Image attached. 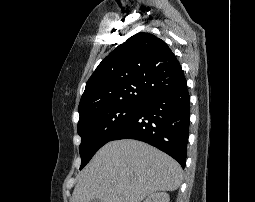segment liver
Masks as SVG:
<instances>
[{"label": "liver", "mask_w": 255, "mask_h": 202, "mask_svg": "<svg viewBox=\"0 0 255 202\" xmlns=\"http://www.w3.org/2000/svg\"><path fill=\"white\" fill-rule=\"evenodd\" d=\"M180 165L144 142L123 139L104 145L85 167L72 202H141L156 191H175L182 183Z\"/></svg>", "instance_id": "liver-1"}]
</instances>
